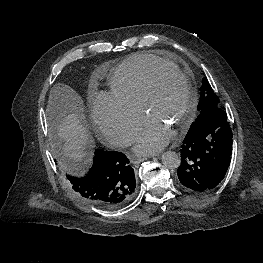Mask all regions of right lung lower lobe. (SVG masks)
Segmentation results:
<instances>
[{
  "label": "right lung lower lobe",
  "instance_id": "obj_1",
  "mask_svg": "<svg viewBox=\"0 0 263 263\" xmlns=\"http://www.w3.org/2000/svg\"><path fill=\"white\" fill-rule=\"evenodd\" d=\"M68 180L85 202L107 209L127 204L136 185L134 170L123 153L98 149L89 172L82 177L69 176Z\"/></svg>",
  "mask_w": 263,
  "mask_h": 263
}]
</instances>
